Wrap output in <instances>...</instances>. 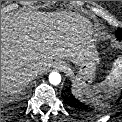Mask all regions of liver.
<instances>
[{
    "label": "liver",
    "mask_w": 122,
    "mask_h": 122,
    "mask_svg": "<svg viewBox=\"0 0 122 122\" xmlns=\"http://www.w3.org/2000/svg\"><path fill=\"white\" fill-rule=\"evenodd\" d=\"M90 21L74 12H15L1 17V103L17 98L56 59L78 64L95 50Z\"/></svg>",
    "instance_id": "1"
}]
</instances>
